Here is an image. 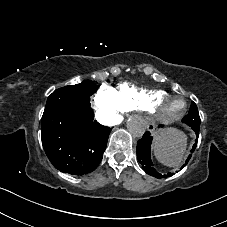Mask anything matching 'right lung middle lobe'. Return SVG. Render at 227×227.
<instances>
[{"label":"right lung middle lobe","mask_w":227,"mask_h":227,"mask_svg":"<svg viewBox=\"0 0 227 227\" xmlns=\"http://www.w3.org/2000/svg\"><path fill=\"white\" fill-rule=\"evenodd\" d=\"M97 85L84 80L80 84L65 86L55 90L47 99L42 117L65 108L90 107V96L97 91Z\"/></svg>","instance_id":"right-lung-middle-lobe-1"}]
</instances>
